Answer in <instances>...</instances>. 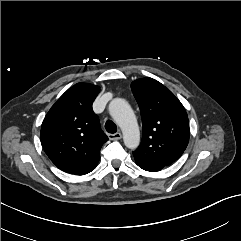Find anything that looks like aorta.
<instances>
[{"instance_id":"762f6f07","label":"aorta","mask_w":241,"mask_h":241,"mask_svg":"<svg viewBox=\"0 0 241 241\" xmlns=\"http://www.w3.org/2000/svg\"><path fill=\"white\" fill-rule=\"evenodd\" d=\"M109 113L121 128L126 147L137 148L140 143V131L135 114L128 102L121 98L113 99L109 104Z\"/></svg>"}]
</instances>
